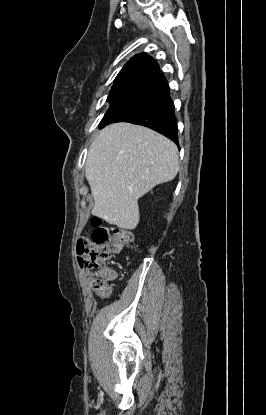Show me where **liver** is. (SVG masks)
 <instances>
[{
	"instance_id": "1",
	"label": "liver",
	"mask_w": 266,
	"mask_h": 415,
	"mask_svg": "<svg viewBox=\"0 0 266 415\" xmlns=\"http://www.w3.org/2000/svg\"><path fill=\"white\" fill-rule=\"evenodd\" d=\"M178 171V149L168 138L130 123L105 127L91 143L86 160L92 215L121 229H135L140 220L138 199L173 180Z\"/></svg>"
}]
</instances>
